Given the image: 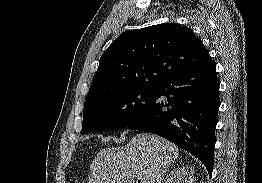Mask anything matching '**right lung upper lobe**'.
<instances>
[{"instance_id":"obj_1","label":"right lung upper lobe","mask_w":262,"mask_h":183,"mask_svg":"<svg viewBox=\"0 0 262 183\" xmlns=\"http://www.w3.org/2000/svg\"><path fill=\"white\" fill-rule=\"evenodd\" d=\"M211 60L200 39L180 24L130 30L105 50L85 101L131 88H157Z\"/></svg>"}]
</instances>
